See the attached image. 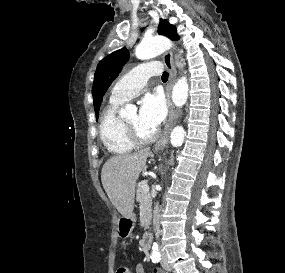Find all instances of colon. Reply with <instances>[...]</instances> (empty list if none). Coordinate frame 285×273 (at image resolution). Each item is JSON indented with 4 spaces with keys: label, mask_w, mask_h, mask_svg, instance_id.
Listing matches in <instances>:
<instances>
[{
    "label": "colon",
    "mask_w": 285,
    "mask_h": 273,
    "mask_svg": "<svg viewBox=\"0 0 285 273\" xmlns=\"http://www.w3.org/2000/svg\"><path fill=\"white\" fill-rule=\"evenodd\" d=\"M116 273H129V269L126 267H119Z\"/></svg>",
    "instance_id": "obj_1"
}]
</instances>
